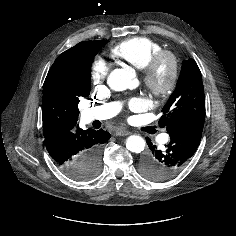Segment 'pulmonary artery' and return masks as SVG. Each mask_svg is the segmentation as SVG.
<instances>
[{
	"label": "pulmonary artery",
	"instance_id": "obj_1",
	"mask_svg": "<svg viewBox=\"0 0 236 236\" xmlns=\"http://www.w3.org/2000/svg\"><path fill=\"white\" fill-rule=\"evenodd\" d=\"M118 103H107L102 106L87 109L83 112V118L85 122H91L93 120H105L113 117L119 111ZM169 139L167 134L161 137L162 142H167Z\"/></svg>",
	"mask_w": 236,
	"mask_h": 236
}]
</instances>
